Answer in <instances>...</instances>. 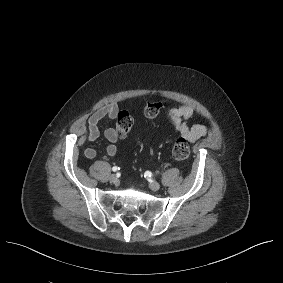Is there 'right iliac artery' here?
<instances>
[{
	"instance_id": "right-iliac-artery-1",
	"label": "right iliac artery",
	"mask_w": 283,
	"mask_h": 283,
	"mask_svg": "<svg viewBox=\"0 0 283 283\" xmlns=\"http://www.w3.org/2000/svg\"><path fill=\"white\" fill-rule=\"evenodd\" d=\"M117 170H120V168L119 167H116V166H114L113 168H112V171H117Z\"/></svg>"
}]
</instances>
